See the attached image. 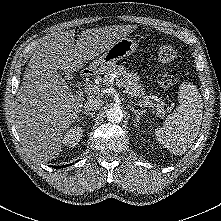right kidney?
Instances as JSON below:
<instances>
[{
	"instance_id": "right-kidney-1",
	"label": "right kidney",
	"mask_w": 221,
	"mask_h": 221,
	"mask_svg": "<svg viewBox=\"0 0 221 221\" xmlns=\"http://www.w3.org/2000/svg\"><path fill=\"white\" fill-rule=\"evenodd\" d=\"M83 129L81 126H74L69 129L63 136L62 143L67 146H76L82 138Z\"/></svg>"
}]
</instances>
